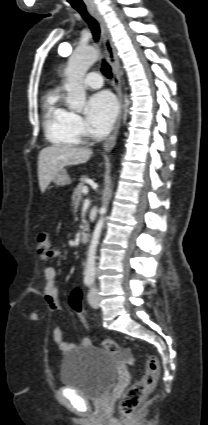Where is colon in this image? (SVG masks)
Returning a JSON list of instances; mask_svg holds the SVG:
<instances>
[{"label": "colon", "instance_id": "5ec220e1", "mask_svg": "<svg viewBox=\"0 0 208 425\" xmlns=\"http://www.w3.org/2000/svg\"><path fill=\"white\" fill-rule=\"evenodd\" d=\"M36 248L41 254L50 255L54 252L53 243L47 232H42L36 242ZM83 293L79 288L72 289L69 295L70 308L85 316L82 305ZM101 346L110 353L119 354L121 346L119 343L105 339L101 341ZM145 373L143 377L131 385L123 394L119 402V412L123 417H130L139 407L144 398L152 392L159 376V363L152 354H145Z\"/></svg>", "mask_w": 208, "mask_h": 425}]
</instances>
